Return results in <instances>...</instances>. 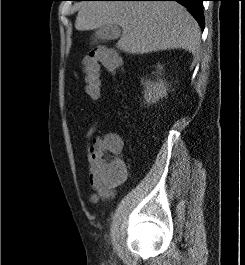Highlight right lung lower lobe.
<instances>
[{"label":"right lung lower lobe","mask_w":245,"mask_h":265,"mask_svg":"<svg viewBox=\"0 0 245 265\" xmlns=\"http://www.w3.org/2000/svg\"><path fill=\"white\" fill-rule=\"evenodd\" d=\"M124 1H176L185 6L197 20L201 29H204L205 20L203 15L204 0H124Z\"/></svg>","instance_id":"obj_1"}]
</instances>
